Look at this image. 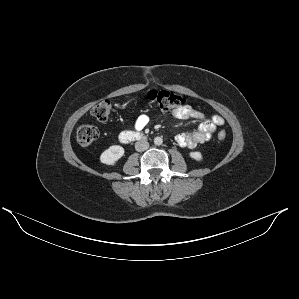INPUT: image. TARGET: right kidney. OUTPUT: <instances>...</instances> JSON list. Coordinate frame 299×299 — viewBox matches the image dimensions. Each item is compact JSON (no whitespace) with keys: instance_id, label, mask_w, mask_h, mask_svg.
I'll list each match as a JSON object with an SVG mask.
<instances>
[{"instance_id":"1","label":"right kidney","mask_w":299,"mask_h":299,"mask_svg":"<svg viewBox=\"0 0 299 299\" xmlns=\"http://www.w3.org/2000/svg\"><path fill=\"white\" fill-rule=\"evenodd\" d=\"M124 148L119 145H112L100 155V162L106 165H114L123 155Z\"/></svg>"}]
</instances>
